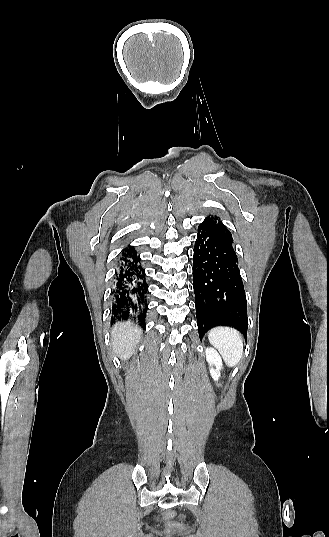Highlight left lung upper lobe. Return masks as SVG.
<instances>
[{"label":"left lung upper lobe","instance_id":"left-lung-upper-lobe-1","mask_svg":"<svg viewBox=\"0 0 329 537\" xmlns=\"http://www.w3.org/2000/svg\"><path fill=\"white\" fill-rule=\"evenodd\" d=\"M204 221H206L207 223L217 227L219 230H221L227 236L232 237L231 232L226 228L225 225H223L221 222L217 221V218L213 219V217L212 218L208 217Z\"/></svg>","mask_w":329,"mask_h":537}]
</instances>
